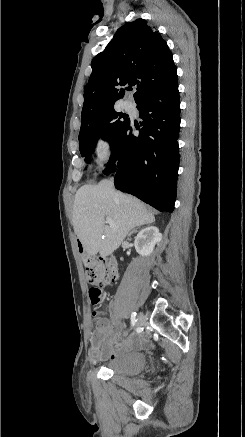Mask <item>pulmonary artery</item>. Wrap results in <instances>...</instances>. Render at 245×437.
I'll list each match as a JSON object with an SVG mask.
<instances>
[{
  "instance_id": "1",
  "label": "pulmonary artery",
  "mask_w": 245,
  "mask_h": 437,
  "mask_svg": "<svg viewBox=\"0 0 245 437\" xmlns=\"http://www.w3.org/2000/svg\"><path fill=\"white\" fill-rule=\"evenodd\" d=\"M123 107L125 110H128V111L133 109L132 103L128 102V101L124 102Z\"/></svg>"
}]
</instances>
